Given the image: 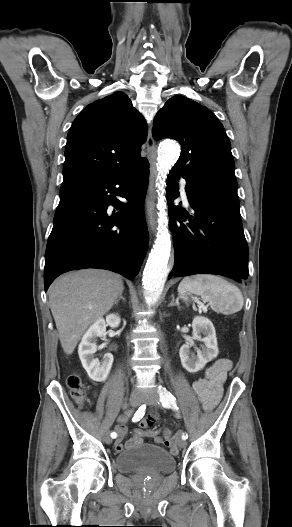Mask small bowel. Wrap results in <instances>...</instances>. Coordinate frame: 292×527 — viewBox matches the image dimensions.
Wrapping results in <instances>:
<instances>
[{
    "label": "small bowel",
    "instance_id": "c3829d8e",
    "mask_svg": "<svg viewBox=\"0 0 292 527\" xmlns=\"http://www.w3.org/2000/svg\"><path fill=\"white\" fill-rule=\"evenodd\" d=\"M230 368V360H219L207 369L204 378L199 379L193 383L192 388L205 410L213 409L219 402L222 395L223 383ZM129 415L130 412H127L125 415H123L120 418L121 423L124 424L127 421ZM117 432L119 433V438L116 440L114 448L117 452H120L125 448V446L122 444V438L126 434L125 426H119L117 428ZM143 437H151L157 444L163 443L164 440L166 444L170 446L173 454L178 452V439L172 432H170L168 427H165L161 434L158 429H149L146 431L136 429L134 431L133 437L126 443V447L141 444Z\"/></svg>",
    "mask_w": 292,
    "mask_h": 527
}]
</instances>
